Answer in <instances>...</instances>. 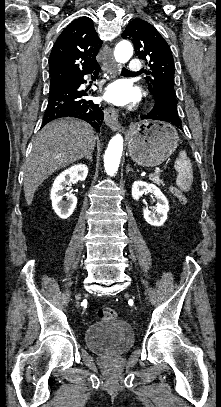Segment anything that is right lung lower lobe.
<instances>
[{
  "mask_svg": "<svg viewBox=\"0 0 221 407\" xmlns=\"http://www.w3.org/2000/svg\"><path fill=\"white\" fill-rule=\"evenodd\" d=\"M99 71L100 66L89 72L93 73L92 79L97 78ZM84 75L50 88L49 101L42 126L57 118L75 117L88 122L99 131L103 122V108L94 104L92 100L86 99L85 97L89 94L79 89L81 84L86 83L83 78Z\"/></svg>",
  "mask_w": 221,
  "mask_h": 407,
  "instance_id": "1",
  "label": "right lung lower lobe"
}]
</instances>
